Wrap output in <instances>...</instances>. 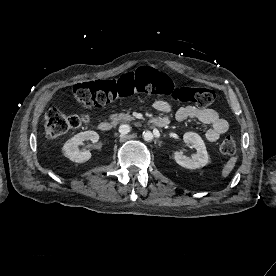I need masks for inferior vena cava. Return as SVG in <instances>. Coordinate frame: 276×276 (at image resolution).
Instances as JSON below:
<instances>
[{
    "mask_svg": "<svg viewBox=\"0 0 276 276\" xmlns=\"http://www.w3.org/2000/svg\"><path fill=\"white\" fill-rule=\"evenodd\" d=\"M119 132L122 135L128 134L130 132V126L127 124H123L119 127Z\"/></svg>",
    "mask_w": 276,
    "mask_h": 276,
    "instance_id": "inferior-vena-cava-1",
    "label": "inferior vena cava"
}]
</instances>
